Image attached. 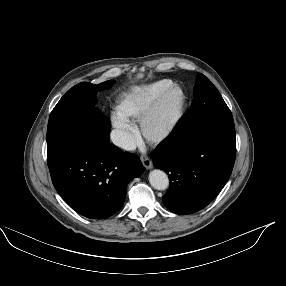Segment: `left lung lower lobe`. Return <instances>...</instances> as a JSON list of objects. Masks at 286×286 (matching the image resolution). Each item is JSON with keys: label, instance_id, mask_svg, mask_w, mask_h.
Here are the masks:
<instances>
[{"label": "left lung lower lobe", "instance_id": "left-lung-lower-lobe-1", "mask_svg": "<svg viewBox=\"0 0 286 286\" xmlns=\"http://www.w3.org/2000/svg\"><path fill=\"white\" fill-rule=\"evenodd\" d=\"M235 156V130H205L186 137L172 134L152 155L154 166L170 180L164 205L176 214L206 207L228 181Z\"/></svg>", "mask_w": 286, "mask_h": 286}]
</instances>
